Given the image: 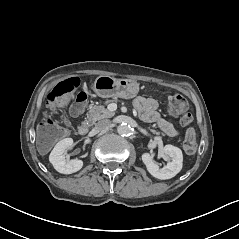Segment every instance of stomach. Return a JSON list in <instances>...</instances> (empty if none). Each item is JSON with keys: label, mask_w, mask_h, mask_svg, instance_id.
<instances>
[{"label": "stomach", "mask_w": 239, "mask_h": 239, "mask_svg": "<svg viewBox=\"0 0 239 239\" xmlns=\"http://www.w3.org/2000/svg\"><path fill=\"white\" fill-rule=\"evenodd\" d=\"M92 89L102 98L118 97L131 99L138 94L139 84L131 79H116L107 75H101L94 81Z\"/></svg>", "instance_id": "1"}]
</instances>
